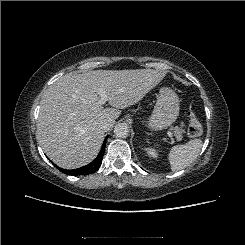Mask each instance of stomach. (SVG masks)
Wrapping results in <instances>:
<instances>
[{
	"instance_id": "obj_1",
	"label": "stomach",
	"mask_w": 245,
	"mask_h": 245,
	"mask_svg": "<svg viewBox=\"0 0 245 245\" xmlns=\"http://www.w3.org/2000/svg\"><path fill=\"white\" fill-rule=\"evenodd\" d=\"M179 109L177 94L170 88H161L153 112L146 123L153 130L166 129L178 118Z\"/></svg>"
}]
</instances>
